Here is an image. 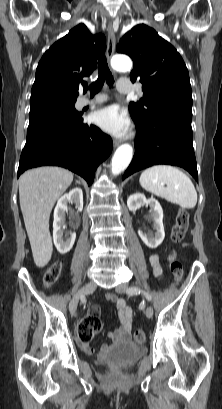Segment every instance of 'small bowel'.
Listing matches in <instances>:
<instances>
[{
  "mask_svg": "<svg viewBox=\"0 0 222 409\" xmlns=\"http://www.w3.org/2000/svg\"><path fill=\"white\" fill-rule=\"evenodd\" d=\"M174 257H175L174 253L169 255V259H173ZM149 262L152 266L153 274L156 277H163L164 269L160 256L158 254H152L149 257ZM107 300L115 306L120 321V326L115 331L109 332L107 334L108 338L115 344L130 341L132 337V330L135 319L134 311L127 305V303L123 299L118 298L113 294L107 295ZM85 318L98 320L101 323L99 310L97 307H92L90 313ZM80 342L82 348L87 354L95 353V349L89 345V342L86 341ZM108 348L109 345L104 344L102 345L101 350L105 351Z\"/></svg>",
  "mask_w": 222,
  "mask_h": 409,
  "instance_id": "c3829d8e",
  "label": "small bowel"
}]
</instances>
